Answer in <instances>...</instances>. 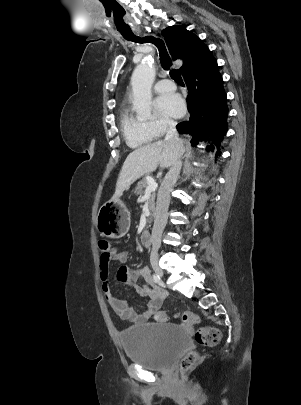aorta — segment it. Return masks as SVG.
Wrapping results in <instances>:
<instances>
[{
	"label": "aorta",
	"mask_w": 301,
	"mask_h": 405,
	"mask_svg": "<svg viewBox=\"0 0 301 405\" xmlns=\"http://www.w3.org/2000/svg\"><path fill=\"white\" fill-rule=\"evenodd\" d=\"M155 79V69L149 60H143L131 77L133 107L137 114L149 116L152 108L151 88Z\"/></svg>",
	"instance_id": "1"
}]
</instances>
